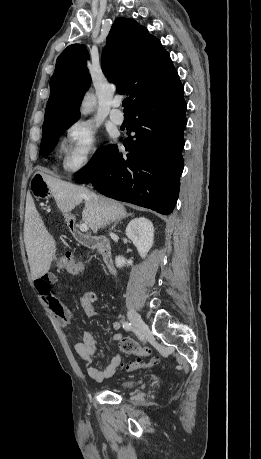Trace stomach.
Wrapping results in <instances>:
<instances>
[{
    "label": "stomach",
    "mask_w": 261,
    "mask_h": 459,
    "mask_svg": "<svg viewBox=\"0 0 261 459\" xmlns=\"http://www.w3.org/2000/svg\"><path fill=\"white\" fill-rule=\"evenodd\" d=\"M30 191L36 198H47L51 194L49 186L39 173L33 175L30 182Z\"/></svg>",
    "instance_id": "0dacf381"
}]
</instances>
